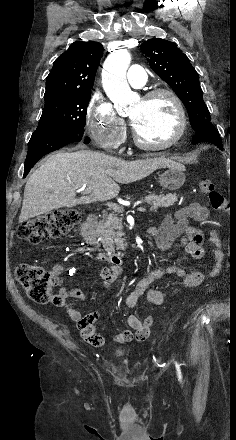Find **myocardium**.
<instances>
[{"label":"myocardium","mask_w":236,"mask_h":440,"mask_svg":"<svg viewBox=\"0 0 236 440\" xmlns=\"http://www.w3.org/2000/svg\"><path fill=\"white\" fill-rule=\"evenodd\" d=\"M160 96H166L172 101V103L175 107L176 113H177V117H178V128H177L175 135L170 140H168L164 143H159V144H152V143H148V142L143 141L139 137V135L137 134L135 129L133 128V139H134L135 144L138 147L145 149V150L157 151V150H164V149L170 148V147L174 146L175 144H177L184 137L186 130H187L186 111H185V108H184V105H183L181 99L178 97V95L175 92H173L170 89H166V88H156V89H153V90L146 92L142 96V100L148 101L153 98L160 97Z\"/></svg>","instance_id":"myocardium-1"}]
</instances>
